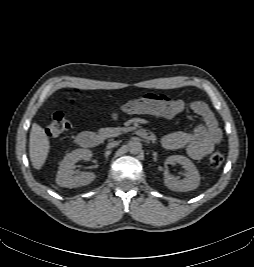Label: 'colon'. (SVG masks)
I'll return each mask as SVG.
<instances>
[{
    "label": "colon",
    "mask_w": 254,
    "mask_h": 267,
    "mask_svg": "<svg viewBox=\"0 0 254 267\" xmlns=\"http://www.w3.org/2000/svg\"><path fill=\"white\" fill-rule=\"evenodd\" d=\"M73 102V99H70ZM72 127V121L62 112H56L52 115L51 121L46 129L49 137L55 138L66 133ZM210 167L217 169L223 163V155L220 152H214L209 157Z\"/></svg>",
    "instance_id": "obj_1"
}]
</instances>
